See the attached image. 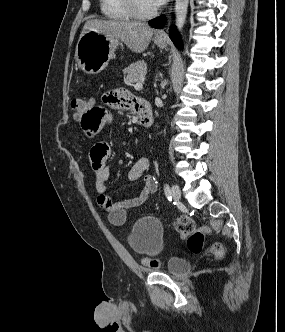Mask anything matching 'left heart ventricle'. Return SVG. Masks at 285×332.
<instances>
[{
	"label": "left heart ventricle",
	"instance_id": "obj_1",
	"mask_svg": "<svg viewBox=\"0 0 285 332\" xmlns=\"http://www.w3.org/2000/svg\"><path fill=\"white\" fill-rule=\"evenodd\" d=\"M139 9L143 12H149L155 9L151 0H137Z\"/></svg>",
	"mask_w": 285,
	"mask_h": 332
}]
</instances>
